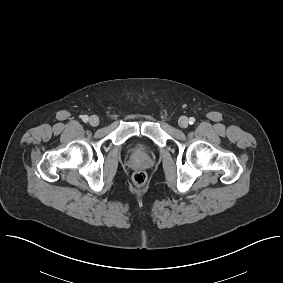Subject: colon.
Masks as SVG:
<instances>
[{"label":"colon","instance_id":"colon-1","mask_svg":"<svg viewBox=\"0 0 283 283\" xmlns=\"http://www.w3.org/2000/svg\"><path fill=\"white\" fill-rule=\"evenodd\" d=\"M132 181L136 186L141 187L145 185L147 181V175L143 171H136L132 176Z\"/></svg>","mask_w":283,"mask_h":283}]
</instances>
